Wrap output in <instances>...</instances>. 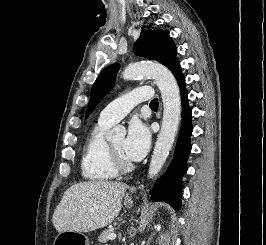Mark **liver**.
<instances>
[{
	"mask_svg": "<svg viewBox=\"0 0 266 245\" xmlns=\"http://www.w3.org/2000/svg\"><path fill=\"white\" fill-rule=\"evenodd\" d=\"M129 189L124 183L87 181L75 183L65 191L54 211L52 223L57 233H89L107 227L121 211L122 199Z\"/></svg>",
	"mask_w": 266,
	"mask_h": 245,
	"instance_id": "obj_1",
	"label": "liver"
}]
</instances>
